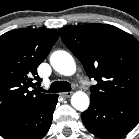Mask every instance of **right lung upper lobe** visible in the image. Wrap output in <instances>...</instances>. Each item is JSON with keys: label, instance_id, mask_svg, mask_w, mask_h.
I'll use <instances>...</instances> for the list:
<instances>
[{"label": "right lung upper lobe", "instance_id": "obj_1", "mask_svg": "<svg viewBox=\"0 0 139 139\" xmlns=\"http://www.w3.org/2000/svg\"><path fill=\"white\" fill-rule=\"evenodd\" d=\"M58 38L56 29L29 28L0 36V125L37 109L54 95L35 93L30 87L40 84L37 67Z\"/></svg>", "mask_w": 139, "mask_h": 139}]
</instances>
